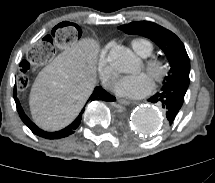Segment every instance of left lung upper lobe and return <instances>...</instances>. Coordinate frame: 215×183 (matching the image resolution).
<instances>
[{
	"label": "left lung upper lobe",
	"instance_id": "1",
	"mask_svg": "<svg viewBox=\"0 0 215 183\" xmlns=\"http://www.w3.org/2000/svg\"><path fill=\"white\" fill-rule=\"evenodd\" d=\"M119 29L127 34L148 37L164 51L171 67L164 84L176 82L189 86L190 60L184 44L174 33L148 21L132 22Z\"/></svg>",
	"mask_w": 215,
	"mask_h": 183
}]
</instances>
